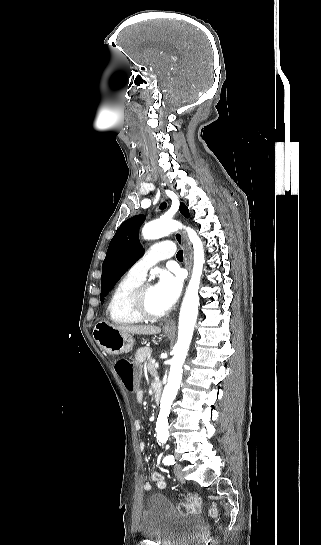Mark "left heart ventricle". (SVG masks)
Returning <instances> with one entry per match:
<instances>
[{
  "mask_svg": "<svg viewBox=\"0 0 321 545\" xmlns=\"http://www.w3.org/2000/svg\"><path fill=\"white\" fill-rule=\"evenodd\" d=\"M143 306L146 310L153 312V313H165L164 309L161 307L160 303L158 302L154 287L150 286L148 287L142 297Z\"/></svg>",
  "mask_w": 321,
  "mask_h": 545,
  "instance_id": "obj_1",
  "label": "left heart ventricle"
}]
</instances>
